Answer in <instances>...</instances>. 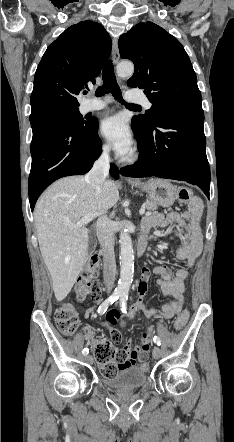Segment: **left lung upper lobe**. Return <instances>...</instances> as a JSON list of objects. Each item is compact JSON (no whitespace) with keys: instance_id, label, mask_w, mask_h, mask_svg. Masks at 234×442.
<instances>
[{"instance_id":"obj_1","label":"left lung upper lobe","mask_w":234,"mask_h":442,"mask_svg":"<svg viewBox=\"0 0 234 442\" xmlns=\"http://www.w3.org/2000/svg\"><path fill=\"white\" fill-rule=\"evenodd\" d=\"M120 56L135 65L130 87L144 89L152 107L134 116L135 137L146 134L154 122L175 109L202 107L196 74L181 43L160 26L139 23L118 41Z\"/></svg>"}]
</instances>
